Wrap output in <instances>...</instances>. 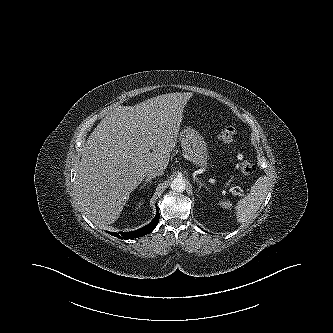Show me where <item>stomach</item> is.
I'll return each instance as SVG.
<instances>
[{
  "mask_svg": "<svg viewBox=\"0 0 333 333\" xmlns=\"http://www.w3.org/2000/svg\"><path fill=\"white\" fill-rule=\"evenodd\" d=\"M180 141L184 153L191 162L201 168L207 167L208 151L203 136L190 126H185L180 132Z\"/></svg>",
  "mask_w": 333,
  "mask_h": 333,
  "instance_id": "obj_1",
  "label": "stomach"
}]
</instances>
